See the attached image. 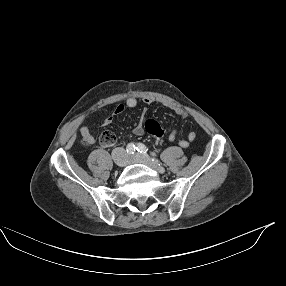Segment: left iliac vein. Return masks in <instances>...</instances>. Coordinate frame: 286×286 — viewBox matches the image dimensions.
Listing matches in <instances>:
<instances>
[{
    "instance_id": "4c4485c4",
    "label": "left iliac vein",
    "mask_w": 286,
    "mask_h": 286,
    "mask_svg": "<svg viewBox=\"0 0 286 286\" xmlns=\"http://www.w3.org/2000/svg\"><path fill=\"white\" fill-rule=\"evenodd\" d=\"M130 162L131 163H142L154 169L160 174L165 173V169L161 166V164L159 162L153 161L148 155H142V154L137 153L130 157Z\"/></svg>"
}]
</instances>
